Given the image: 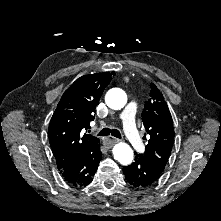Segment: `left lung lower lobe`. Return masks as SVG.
Returning a JSON list of instances; mask_svg holds the SVG:
<instances>
[{"mask_svg":"<svg viewBox=\"0 0 221 221\" xmlns=\"http://www.w3.org/2000/svg\"><path fill=\"white\" fill-rule=\"evenodd\" d=\"M163 171L145 156L137 154L135 162L123 169L127 182L136 188H144L155 184L162 176Z\"/></svg>","mask_w":221,"mask_h":221,"instance_id":"1","label":"left lung lower lobe"}]
</instances>
